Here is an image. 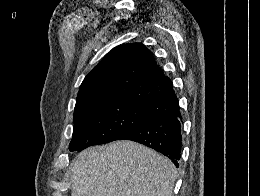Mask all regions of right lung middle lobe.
<instances>
[{
	"instance_id": "1",
	"label": "right lung middle lobe",
	"mask_w": 260,
	"mask_h": 196,
	"mask_svg": "<svg viewBox=\"0 0 260 196\" xmlns=\"http://www.w3.org/2000/svg\"><path fill=\"white\" fill-rule=\"evenodd\" d=\"M153 116L141 105L127 101H106L75 106L70 151L118 140Z\"/></svg>"
}]
</instances>
